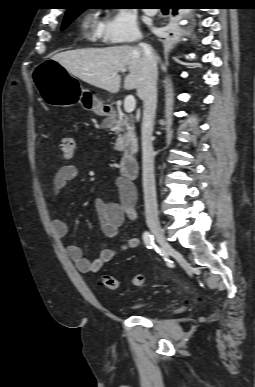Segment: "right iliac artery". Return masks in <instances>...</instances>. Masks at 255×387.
Returning <instances> with one entry per match:
<instances>
[{"mask_svg":"<svg viewBox=\"0 0 255 387\" xmlns=\"http://www.w3.org/2000/svg\"><path fill=\"white\" fill-rule=\"evenodd\" d=\"M143 241L148 249H151L154 247V237L149 232L145 231L143 233Z\"/></svg>","mask_w":255,"mask_h":387,"instance_id":"right-iliac-artery-1","label":"right iliac artery"}]
</instances>
